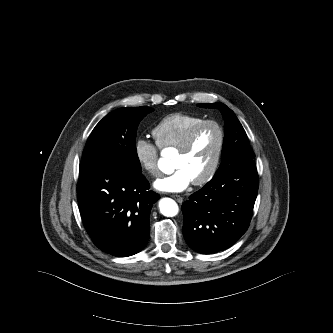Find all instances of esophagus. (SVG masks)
<instances>
[{
	"label": "esophagus",
	"mask_w": 333,
	"mask_h": 333,
	"mask_svg": "<svg viewBox=\"0 0 333 333\" xmlns=\"http://www.w3.org/2000/svg\"><path fill=\"white\" fill-rule=\"evenodd\" d=\"M178 203H182L183 202V198L179 195H173L172 196Z\"/></svg>",
	"instance_id": "esophagus-1"
}]
</instances>
